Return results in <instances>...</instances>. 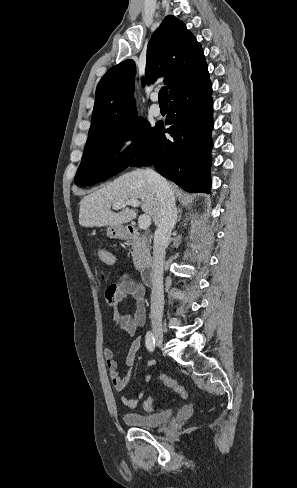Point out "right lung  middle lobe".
<instances>
[{"label":"right lung middle lobe","instance_id":"obj_1","mask_svg":"<svg viewBox=\"0 0 297 488\" xmlns=\"http://www.w3.org/2000/svg\"><path fill=\"white\" fill-rule=\"evenodd\" d=\"M156 131V127H151L145 119L138 117L124 126L101 130L95 136L88 137L75 175V184L93 185L125 170L149 145ZM127 139L133 142L115 160V153Z\"/></svg>","mask_w":297,"mask_h":488}]
</instances>
